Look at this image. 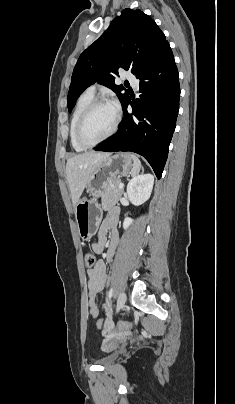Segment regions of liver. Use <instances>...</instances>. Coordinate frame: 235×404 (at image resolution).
<instances>
[{"label":"liver","instance_id":"1","mask_svg":"<svg viewBox=\"0 0 235 404\" xmlns=\"http://www.w3.org/2000/svg\"><path fill=\"white\" fill-rule=\"evenodd\" d=\"M110 155L107 152H85L67 160L66 179L75 207L96 168Z\"/></svg>","mask_w":235,"mask_h":404}]
</instances>
